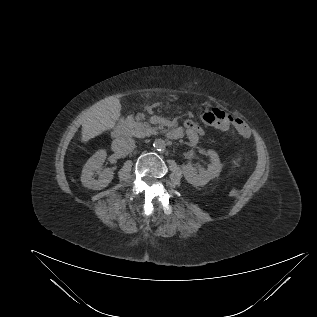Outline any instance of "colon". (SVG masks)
Returning <instances> with one entry per match:
<instances>
[{"label": "colon", "mask_w": 317, "mask_h": 317, "mask_svg": "<svg viewBox=\"0 0 317 317\" xmlns=\"http://www.w3.org/2000/svg\"><path fill=\"white\" fill-rule=\"evenodd\" d=\"M224 113L219 109H204L200 112V118L207 125L222 124Z\"/></svg>", "instance_id": "5ec220e1"}]
</instances>
